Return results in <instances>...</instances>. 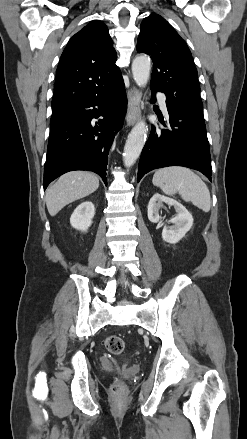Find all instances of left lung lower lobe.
Segmentation results:
<instances>
[{"label": "left lung lower lobe", "instance_id": "obj_1", "mask_svg": "<svg viewBox=\"0 0 247 439\" xmlns=\"http://www.w3.org/2000/svg\"><path fill=\"white\" fill-rule=\"evenodd\" d=\"M156 99V89L151 88ZM169 120H159L167 129L152 126L138 168V182L149 171L184 166L202 172L211 181V158L203 115L174 107L166 99Z\"/></svg>", "mask_w": 247, "mask_h": 439}]
</instances>
